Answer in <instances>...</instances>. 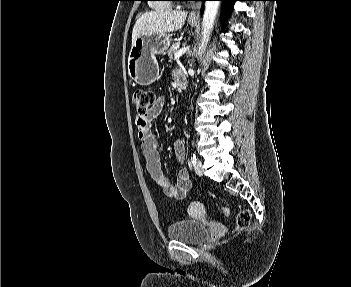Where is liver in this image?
Here are the masks:
<instances>
[{
    "label": "liver",
    "mask_w": 351,
    "mask_h": 287,
    "mask_svg": "<svg viewBox=\"0 0 351 287\" xmlns=\"http://www.w3.org/2000/svg\"><path fill=\"white\" fill-rule=\"evenodd\" d=\"M187 17L185 11L158 10L139 17L132 31V45L144 34L174 32L182 28Z\"/></svg>",
    "instance_id": "1"
}]
</instances>
